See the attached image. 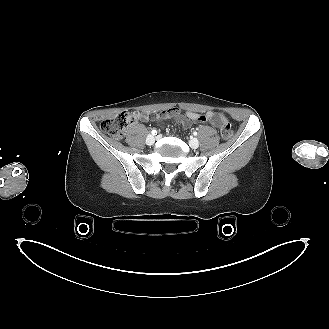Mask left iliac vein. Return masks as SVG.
<instances>
[{"label": "left iliac vein", "instance_id": "4c4485c4", "mask_svg": "<svg viewBox=\"0 0 329 329\" xmlns=\"http://www.w3.org/2000/svg\"><path fill=\"white\" fill-rule=\"evenodd\" d=\"M189 145H190L191 148L196 149V148L199 147V141L196 138H192L189 141Z\"/></svg>", "mask_w": 329, "mask_h": 329}]
</instances>
